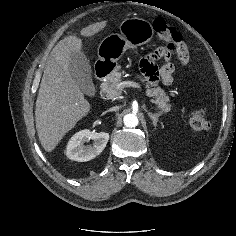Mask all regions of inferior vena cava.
I'll use <instances>...</instances> for the list:
<instances>
[{
    "instance_id": "1",
    "label": "inferior vena cava",
    "mask_w": 236,
    "mask_h": 236,
    "mask_svg": "<svg viewBox=\"0 0 236 236\" xmlns=\"http://www.w3.org/2000/svg\"><path fill=\"white\" fill-rule=\"evenodd\" d=\"M118 110H119V106H114L109 109V111H118Z\"/></svg>"
}]
</instances>
